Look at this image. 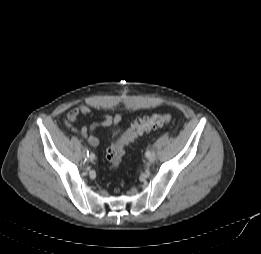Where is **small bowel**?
Returning a JSON list of instances; mask_svg holds the SVG:
<instances>
[{
    "mask_svg": "<svg viewBox=\"0 0 261 254\" xmlns=\"http://www.w3.org/2000/svg\"><path fill=\"white\" fill-rule=\"evenodd\" d=\"M91 115H92V111H91L90 107H88L86 105H81V106L72 108L67 113L64 124L68 129L74 131V130H76L75 123L78 122L80 117H82V116L87 117V116H91ZM121 120H122V115H120V114H117L114 116L104 115V116L100 117L98 120H96L88 125H83L81 127V129L79 130V134L83 138H87V140L91 146L96 147L99 144V140L94 135V131L98 127H101V126H109L112 124H118Z\"/></svg>",
    "mask_w": 261,
    "mask_h": 254,
    "instance_id": "c3829d8e",
    "label": "small bowel"
}]
</instances>
